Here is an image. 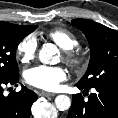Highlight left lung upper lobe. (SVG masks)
Returning <instances> with one entry per match:
<instances>
[{"label":"left lung upper lobe","instance_id":"left-lung-upper-lobe-1","mask_svg":"<svg viewBox=\"0 0 118 118\" xmlns=\"http://www.w3.org/2000/svg\"><path fill=\"white\" fill-rule=\"evenodd\" d=\"M72 24L85 34L91 50L87 72L77 85L91 89L118 83V32L86 19H74Z\"/></svg>","mask_w":118,"mask_h":118}]
</instances>
